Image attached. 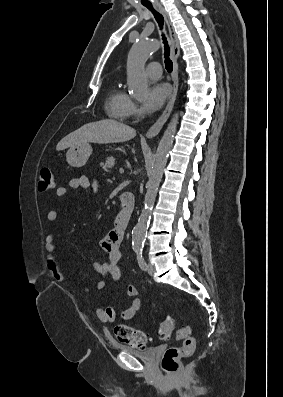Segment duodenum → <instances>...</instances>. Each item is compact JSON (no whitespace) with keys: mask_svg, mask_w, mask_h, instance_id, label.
I'll list each match as a JSON object with an SVG mask.
<instances>
[{"mask_svg":"<svg viewBox=\"0 0 283 397\" xmlns=\"http://www.w3.org/2000/svg\"><path fill=\"white\" fill-rule=\"evenodd\" d=\"M121 209L115 219V228L119 232H123L128 227L134 207H135V198L134 195L130 192H124L120 196Z\"/></svg>","mask_w":283,"mask_h":397,"instance_id":"410a0bca","label":"duodenum"}]
</instances>
